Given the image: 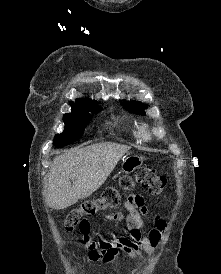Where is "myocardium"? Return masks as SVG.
Segmentation results:
<instances>
[{
	"label": "myocardium",
	"instance_id": "obj_1",
	"mask_svg": "<svg viewBox=\"0 0 221 274\" xmlns=\"http://www.w3.org/2000/svg\"><path fill=\"white\" fill-rule=\"evenodd\" d=\"M140 133H141V137L142 139L144 140H148L150 139L151 137V134L150 132L147 130V128L143 127L141 130H140Z\"/></svg>",
	"mask_w": 221,
	"mask_h": 274
}]
</instances>
